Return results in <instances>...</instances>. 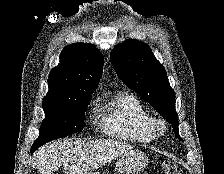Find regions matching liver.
<instances>
[{"mask_svg":"<svg viewBox=\"0 0 224 174\" xmlns=\"http://www.w3.org/2000/svg\"><path fill=\"white\" fill-rule=\"evenodd\" d=\"M132 149L133 146L114 140L63 139L38 149L33 166L41 174H53L61 165L65 174H88Z\"/></svg>","mask_w":224,"mask_h":174,"instance_id":"liver-1","label":"liver"}]
</instances>
